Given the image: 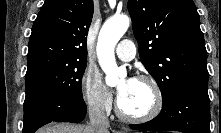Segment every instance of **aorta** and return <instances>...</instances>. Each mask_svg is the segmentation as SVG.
Masks as SVG:
<instances>
[{
  "mask_svg": "<svg viewBox=\"0 0 221 133\" xmlns=\"http://www.w3.org/2000/svg\"><path fill=\"white\" fill-rule=\"evenodd\" d=\"M129 24L128 16H113L104 23L98 36L97 57L102 70L106 74V84L109 86L116 85L119 78L126 75V69L117 66L114 49L127 31Z\"/></svg>",
  "mask_w": 221,
  "mask_h": 133,
  "instance_id": "1",
  "label": "aorta"
}]
</instances>
